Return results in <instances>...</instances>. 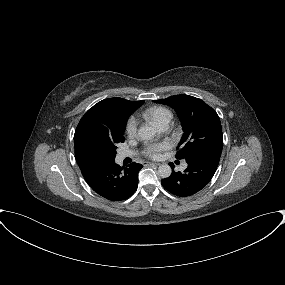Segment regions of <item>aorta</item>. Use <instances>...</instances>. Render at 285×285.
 Instances as JSON below:
<instances>
[{
    "label": "aorta",
    "instance_id": "obj_1",
    "mask_svg": "<svg viewBox=\"0 0 285 285\" xmlns=\"http://www.w3.org/2000/svg\"><path fill=\"white\" fill-rule=\"evenodd\" d=\"M155 135H156V129L152 126H147V125L142 126L138 130V136L142 140H150L154 138ZM171 173H172V169L168 164H162L158 168V174L162 178L170 177Z\"/></svg>",
    "mask_w": 285,
    "mask_h": 285
}]
</instances>
